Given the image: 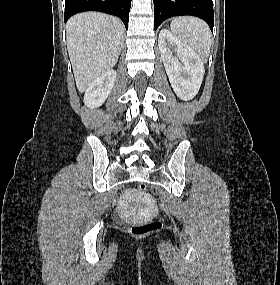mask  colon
I'll return each instance as SVG.
<instances>
[{
    "label": "colon",
    "mask_w": 280,
    "mask_h": 285,
    "mask_svg": "<svg viewBox=\"0 0 280 285\" xmlns=\"http://www.w3.org/2000/svg\"><path fill=\"white\" fill-rule=\"evenodd\" d=\"M137 190L140 192H146L148 186L145 183L137 185ZM161 226V222L157 219L148 221L146 223L136 224L131 227L130 233L135 237H143L157 231Z\"/></svg>",
    "instance_id": "1"
}]
</instances>
